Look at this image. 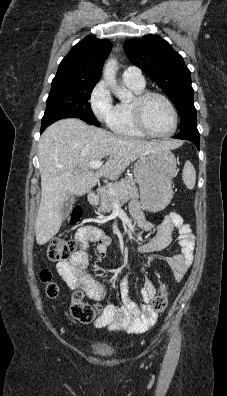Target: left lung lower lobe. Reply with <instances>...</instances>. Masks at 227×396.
<instances>
[{
	"instance_id": "obj_1",
	"label": "left lung lower lobe",
	"mask_w": 227,
	"mask_h": 396,
	"mask_svg": "<svg viewBox=\"0 0 227 396\" xmlns=\"http://www.w3.org/2000/svg\"><path fill=\"white\" fill-rule=\"evenodd\" d=\"M176 139H183L193 142L197 149L200 148V136L197 130V120H193L180 128V133L175 136Z\"/></svg>"
}]
</instances>
